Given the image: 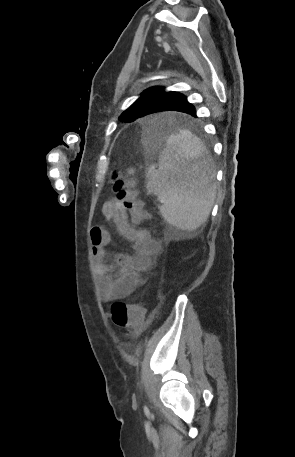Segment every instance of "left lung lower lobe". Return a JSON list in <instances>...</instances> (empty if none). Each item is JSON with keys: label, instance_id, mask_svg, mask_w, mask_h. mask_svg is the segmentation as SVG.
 <instances>
[{"label": "left lung lower lobe", "instance_id": "obj_1", "mask_svg": "<svg viewBox=\"0 0 295 457\" xmlns=\"http://www.w3.org/2000/svg\"><path fill=\"white\" fill-rule=\"evenodd\" d=\"M160 111H179L183 113H187L191 116L196 117V111L192 104L187 102V99L184 95L177 93L175 95H171L161 103L156 105L152 110L151 113L160 112ZM150 113V114H151ZM154 133H164L167 131L166 126L160 125L155 126L152 129Z\"/></svg>", "mask_w": 295, "mask_h": 457}]
</instances>
